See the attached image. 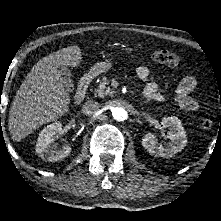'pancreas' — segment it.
I'll return each mask as SVG.
<instances>
[{"label": "pancreas", "instance_id": "cf45deb5", "mask_svg": "<svg viewBox=\"0 0 221 221\" xmlns=\"http://www.w3.org/2000/svg\"><path fill=\"white\" fill-rule=\"evenodd\" d=\"M107 84L108 78L103 77L97 89L95 90V94H97L99 97H105L107 95L112 96L114 94V91L107 87Z\"/></svg>", "mask_w": 221, "mask_h": 221}]
</instances>
